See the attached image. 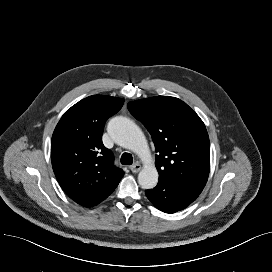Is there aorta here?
Listing matches in <instances>:
<instances>
[{"mask_svg":"<svg viewBox=\"0 0 272 272\" xmlns=\"http://www.w3.org/2000/svg\"><path fill=\"white\" fill-rule=\"evenodd\" d=\"M111 138L120 146L133 150L144 162L138 174V183L143 189H152L158 182V171L153 164L150 149L142 130L130 119L115 117L107 126Z\"/></svg>","mask_w":272,"mask_h":272,"instance_id":"aorta-1","label":"aorta"}]
</instances>
